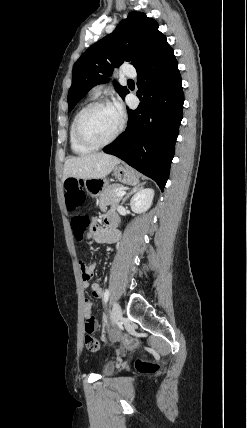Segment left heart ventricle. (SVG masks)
Segmentation results:
<instances>
[{
    "label": "left heart ventricle",
    "mask_w": 247,
    "mask_h": 428,
    "mask_svg": "<svg viewBox=\"0 0 247 428\" xmlns=\"http://www.w3.org/2000/svg\"><path fill=\"white\" fill-rule=\"evenodd\" d=\"M118 123L111 107L105 106L91 111L84 119L82 128L90 140L103 142L112 136Z\"/></svg>",
    "instance_id": "b2bd125f"
}]
</instances>
